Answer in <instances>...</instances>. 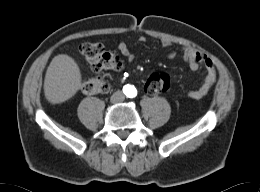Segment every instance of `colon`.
<instances>
[{
  "label": "colon",
  "instance_id": "colon-1",
  "mask_svg": "<svg viewBox=\"0 0 260 192\" xmlns=\"http://www.w3.org/2000/svg\"><path fill=\"white\" fill-rule=\"evenodd\" d=\"M79 50L89 67L95 72L120 70L123 66L120 57L107 52L100 43H83ZM170 87L171 78L168 74L153 73L147 79L144 89L150 95H157L168 92ZM82 90L87 94L106 93L109 84L102 77L89 78L82 82Z\"/></svg>",
  "mask_w": 260,
  "mask_h": 192
}]
</instances>
